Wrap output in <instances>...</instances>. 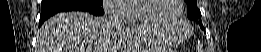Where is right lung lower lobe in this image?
Listing matches in <instances>:
<instances>
[{"instance_id": "1", "label": "right lung lower lobe", "mask_w": 261, "mask_h": 52, "mask_svg": "<svg viewBox=\"0 0 261 52\" xmlns=\"http://www.w3.org/2000/svg\"><path fill=\"white\" fill-rule=\"evenodd\" d=\"M102 5L82 0H42L39 25L41 26L50 16L64 11H88L93 15L101 16L104 14V10L101 8Z\"/></svg>"}]
</instances>
